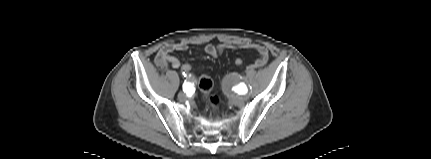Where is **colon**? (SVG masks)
Wrapping results in <instances>:
<instances>
[{"label":"colon","instance_id":"obj_1","mask_svg":"<svg viewBox=\"0 0 431 159\" xmlns=\"http://www.w3.org/2000/svg\"><path fill=\"white\" fill-rule=\"evenodd\" d=\"M234 65L239 67V72H244V63L241 58H234ZM161 68H164L165 66L159 65ZM193 65L192 63H183V65L180 67V73L182 75H187L188 73L192 72ZM198 86L200 91L203 93L205 99L207 100L212 113L216 114L219 110L220 105V99L216 95H211V91L213 88V81L209 76L203 75L200 77L198 81Z\"/></svg>","mask_w":431,"mask_h":159}]
</instances>
